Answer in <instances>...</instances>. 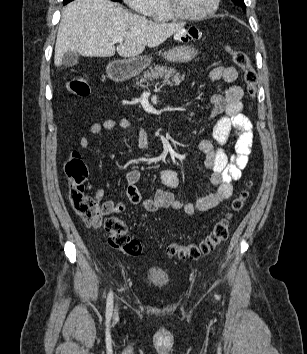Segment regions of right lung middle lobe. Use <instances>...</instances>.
Segmentation results:
<instances>
[{
  "label": "right lung middle lobe",
  "mask_w": 307,
  "mask_h": 354,
  "mask_svg": "<svg viewBox=\"0 0 307 354\" xmlns=\"http://www.w3.org/2000/svg\"><path fill=\"white\" fill-rule=\"evenodd\" d=\"M71 1H72V0H64V1H63V4H67V3L71 2ZM112 1L120 2V1H122V0H112Z\"/></svg>",
  "instance_id": "right-lung-middle-lobe-1"
}]
</instances>
